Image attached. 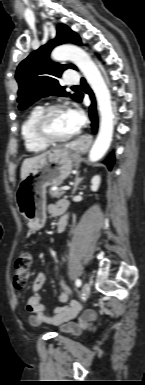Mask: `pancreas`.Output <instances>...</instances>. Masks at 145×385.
Here are the masks:
<instances>
[{
    "mask_svg": "<svg viewBox=\"0 0 145 385\" xmlns=\"http://www.w3.org/2000/svg\"><path fill=\"white\" fill-rule=\"evenodd\" d=\"M65 192L61 188L50 190L49 194L53 198H60Z\"/></svg>",
    "mask_w": 145,
    "mask_h": 385,
    "instance_id": "cf45deb5",
    "label": "pancreas"
}]
</instances>
